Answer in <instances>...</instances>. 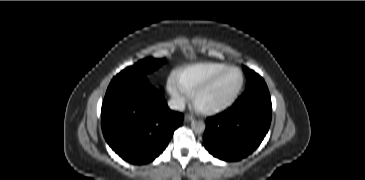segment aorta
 <instances>
[{
    "instance_id": "762f6f07",
    "label": "aorta",
    "mask_w": 365,
    "mask_h": 180,
    "mask_svg": "<svg viewBox=\"0 0 365 180\" xmlns=\"http://www.w3.org/2000/svg\"><path fill=\"white\" fill-rule=\"evenodd\" d=\"M191 127L195 132L201 133L205 130L206 125L203 121H192Z\"/></svg>"
}]
</instances>
